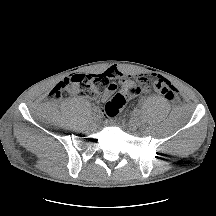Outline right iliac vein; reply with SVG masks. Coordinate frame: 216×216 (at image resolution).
Wrapping results in <instances>:
<instances>
[{"mask_svg": "<svg viewBox=\"0 0 216 216\" xmlns=\"http://www.w3.org/2000/svg\"><path fill=\"white\" fill-rule=\"evenodd\" d=\"M91 123L93 124V125H95L97 122H98V117L96 116V115H93L92 117H91Z\"/></svg>", "mask_w": 216, "mask_h": 216, "instance_id": "1", "label": "right iliac vein"}]
</instances>
